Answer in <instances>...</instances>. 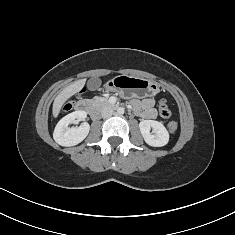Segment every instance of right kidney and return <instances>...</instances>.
I'll use <instances>...</instances> for the list:
<instances>
[{
	"label": "right kidney",
	"instance_id": "1",
	"mask_svg": "<svg viewBox=\"0 0 235 235\" xmlns=\"http://www.w3.org/2000/svg\"><path fill=\"white\" fill-rule=\"evenodd\" d=\"M86 116L85 111H74L63 117L56 125L53 133L55 142L68 147L82 142L89 133L90 125L87 122H83L79 127L69 128L68 125L85 120Z\"/></svg>",
	"mask_w": 235,
	"mask_h": 235
}]
</instances>
